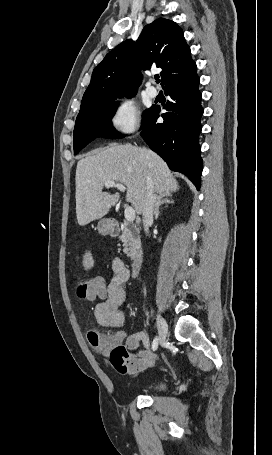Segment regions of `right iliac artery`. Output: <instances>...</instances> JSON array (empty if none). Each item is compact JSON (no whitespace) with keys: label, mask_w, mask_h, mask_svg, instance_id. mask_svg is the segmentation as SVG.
<instances>
[{"label":"right iliac artery","mask_w":272,"mask_h":455,"mask_svg":"<svg viewBox=\"0 0 272 455\" xmlns=\"http://www.w3.org/2000/svg\"><path fill=\"white\" fill-rule=\"evenodd\" d=\"M158 348V338L156 337L152 342V350L155 351Z\"/></svg>","instance_id":"82829eb1"}]
</instances>
